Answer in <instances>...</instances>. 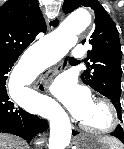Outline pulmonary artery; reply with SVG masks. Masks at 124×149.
Wrapping results in <instances>:
<instances>
[{"mask_svg": "<svg viewBox=\"0 0 124 149\" xmlns=\"http://www.w3.org/2000/svg\"><path fill=\"white\" fill-rule=\"evenodd\" d=\"M72 56L76 59H82L85 56V45L78 44L73 50H72Z\"/></svg>", "mask_w": 124, "mask_h": 149, "instance_id": "obj_1", "label": "pulmonary artery"}]
</instances>
